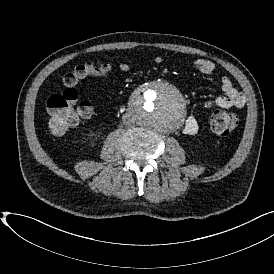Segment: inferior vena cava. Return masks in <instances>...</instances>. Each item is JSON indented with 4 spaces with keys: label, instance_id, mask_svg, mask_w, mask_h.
I'll list each match as a JSON object with an SVG mask.
<instances>
[{
    "label": "inferior vena cava",
    "instance_id": "1",
    "mask_svg": "<svg viewBox=\"0 0 274 274\" xmlns=\"http://www.w3.org/2000/svg\"><path fill=\"white\" fill-rule=\"evenodd\" d=\"M123 123H124L125 125H127V120H126V117H124V116H123Z\"/></svg>",
    "mask_w": 274,
    "mask_h": 274
}]
</instances>
